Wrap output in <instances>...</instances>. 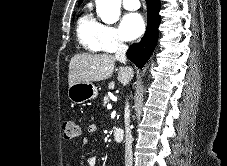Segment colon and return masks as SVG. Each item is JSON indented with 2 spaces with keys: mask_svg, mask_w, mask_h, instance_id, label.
Wrapping results in <instances>:
<instances>
[{
  "mask_svg": "<svg viewBox=\"0 0 227 166\" xmlns=\"http://www.w3.org/2000/svg\"><path fill=\"white\" fill-rule=\"evenodd\" d=\"M63 134L67 140H73L79 137L78 126L73 120H65L63 122Z\"/></svg>",
  "mask_w": 227,
  "mask_h": 166,
  "instance_id": "colon-1",
  "label": "colon"
}]
</instances>
